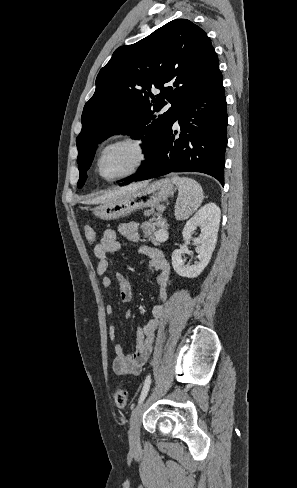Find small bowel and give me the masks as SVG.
Wrapping results in <instances>:
<instances>
[{
    "label": "small bowel",
    "mask_w": 297,
    "mask_h": 488,
    "mask_svg": "<svg viewBox=\"0 0 297 488\" xmlns=\"http://www.w3.org/2000/svg\"><path fill=\"white\" fill-rule=\"evenodd\" d=\"M120 235L133 243H141L142 236L139 232V226L136 222L122 223L118 227ZM121 244L117 234L112 229H106L99 241L94 246V255L97 259L96 272L101 277V284L104 289L112 287V280L106 276L109 268V254L117 252ZM140 254L149 259V271L155 279L159 291V298L162 303H158L151 308V318L147 320L144 326L138 329V344L132 354H126L119 342L115 341L116 326L112 325L109 332V339L113 346L115 357L113 360V371L116 375L130 377L138 375L143 366L146 364L152 350L154 333L158 329L160 319L165 312L163 302L168 297V285L170 280V264L164 253L154 247L140 245L138 247ZM115 280L119 288V295L122 302L127 303L132 299V286L130 281L124 275L117 273ZM106 313L113 316L115 311L112 305L106 306Z\"/></svg>",
    "instance_id": "c3829d8e"
}]
</instances>
